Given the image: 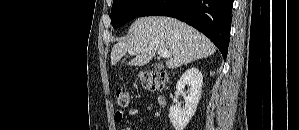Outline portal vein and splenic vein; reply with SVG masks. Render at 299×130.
I'll return each mask as SVG.
<instances>
[{
	"mask_svg": "<svg viewBox=\"0 0 299 130\" xmlns=\"http://www.w3.org/2000/svg\"><path fill=\"white\" fill-rule=\"evenodd\" d=\"M158 55L161 56L162 58H169L171 57L172 54L167 49H160L158 50Z\"/></svg>",
	"mask_w": 299,
	"mask_h": 130,
	"instance_id": "portal-vein-and-splenic-vein-1",
	"label": "portal vein and splenic vein"
}]
</instances>
